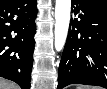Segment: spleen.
I'll use <instances>...</instances> for the list:
<instances>
[{
    "instance_id": "1",
    "label": "spleen",
    "mask_w": 107,
    "mask_h": 89,
    "mask_svg": "<svg viewBox=\"0 0 107 89\" xmlns=\"http://www.w3.org/2000/svg\"><path fill=\"white\" fill-rule=\"evenodd\" d=\"M77 89H85L83 86H78Z\"/></svg>"
}]
</instances>
